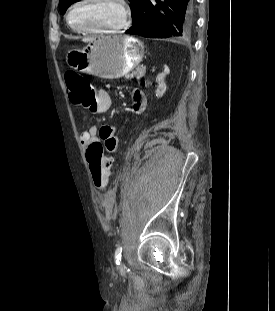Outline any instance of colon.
<instances>
[{
    "label": "colon",
    "mask_w": 275,
    "mask_h": 311,
    "mask_svg": "<svg viewBox=\"0 0 275 311\" xmlns=\"http://www.w3.org/2000/svg\"><path fill=\"white\" fill-rule=\"evenodd\" d=\"M65 81L69 99L73 104L86 107L95 99L94 88L84 77L74 72H68L65 75ZM87 160L93 185L98 190L104 189L109 180L112 158L105 155L101 143L94 142L87 148Z\"/></svg>",
    "instance_id": "obj_1"
}]
</instances>
